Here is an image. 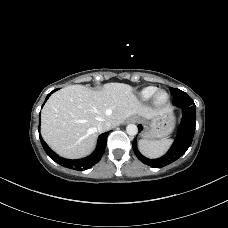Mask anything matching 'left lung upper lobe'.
I'll list each match as a JSON object with an SVG mask.
<instances>
[{"instance_id":"left-lung-upper-lobe-1","label":"left lung upper lobe","mask_w":228,"mask_h":228,"mask_svg":"<svg viewBox=\"0 0 228 228\" xmlns=\"http://www.w3.org/2000/svg\"><path fill=\"white\" fill-rule=\"evenodd\" d=\"M171 94L174 96V98H184L186 96H188L185 92L177 89V88H169Z\"/></svg>"}]
</instances>
